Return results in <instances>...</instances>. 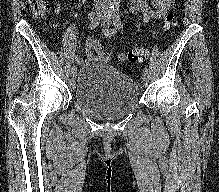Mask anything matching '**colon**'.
<instances>
[{
	"label": "colon",
	"mask_w": 219,
	"mask_h": 192,
	"mask_svg": "<svg viewBox=\"0 0 219 192\" xmlns=\"http://www.w3.org/2000/svg\"><path fill=\"white\" fill-rule=\"evenodd\" d=\"M32 10L37 18H47L50 14L51 8L46 0H31ZM175 25V16L173 13H168L163 20V29L170 30ZM147 49L144 46H135L123 54V60L128 62L140 61L146 54ZM111 56L108 52H103L102 59L104 61L110 60Z\"/></svg>",
	"instance_id": "1"
}]
</instances>
